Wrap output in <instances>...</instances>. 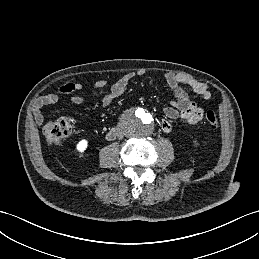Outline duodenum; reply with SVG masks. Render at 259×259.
<instances>
[{
  "label": "duodenum",
  "mask_w": 259,
  "mask_h": 259,
  "mask_svg": "<svg viewBox=\"0 0 259 259\" xmlns=\"http://www.w3.org/2000/svg\"><path fill=\"white\" fill-rule=\"evenodd\" d=\"M117 136V131L115 129H112L108 134L107 138L108 139H114Z\"/></svg>",
  "instance_id": "obj_1"
}]
</instances>
